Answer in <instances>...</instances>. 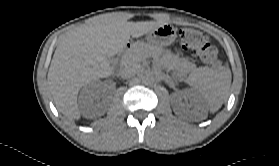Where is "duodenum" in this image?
Returning <instances> with one entry per match:
<instances>
[{
	"label": "duodenum",
	"mask_w": 279,
	"mask_h": 166,
	"mask_svg": "<svg viewBox=\"0 0 279 166\" xmlns=\"http://www.w3.org/2000/svg\"><path fill=\"white\" fill-rule=\"evenodd\" d=\"M130 48H131V44H130V43H127V44H125V45L121 48L120 52H121V53H125V52H127Z\"/></svg>",
	"instance_id": "obj_1"
}]
</instances>
